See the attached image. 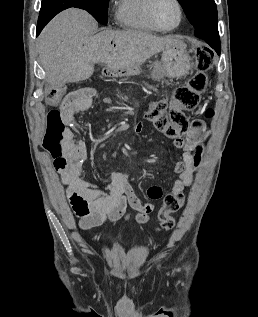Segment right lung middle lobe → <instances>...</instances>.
Instances as JSON below:
<instances>
[{
  "mask_svg": "<svg viewBox=\"0 0 258 317\" xmlns=\"http://www.w3.org/2000/svg\"><path fill=\"white\" fill-rule=\"evenodd\" d=\"M109 0H88L93 11V17L101 24L107 25V11Z\"/></svg>",
  "mask_w": 258,
  "mask_h": 317,
  "instance_id": "dd1d6c3e",
  "label": "right lung middle lobe"
}]
</instances>
